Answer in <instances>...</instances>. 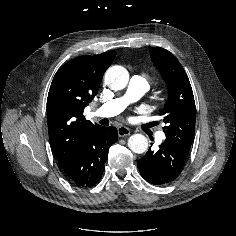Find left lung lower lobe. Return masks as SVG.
<instances>
[{
    "instance_id": "0a47b994",
    "label": "left lung lower lobe",
    "mask_w": 236,
    "mask_h": 236,
    "mask_svg": "<svg viewBox=\"0 0 236 236\" xmlns=\"http://www.w3.org/2000/svg\"><path fill=\"white\" fill-rule=\"evenodd\" d=\"M186 159V153L163 142L157 152L149 148L144 157L138 160L137 166L147 182L153 185H163L180 175Z\"/></svg>"
}]
</instances>
